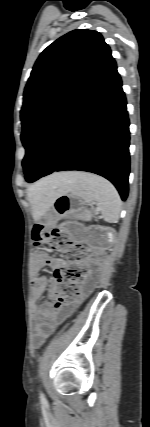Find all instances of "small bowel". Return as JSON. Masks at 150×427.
<instances>
[{"label": "small bowel", "mask_w": 150, "mask_h": 427, "mask_svg": "<svg viewBox=\"0 0 150 427\" xmlns=\"http://www.w3.org/2000/svg\"><path fill=\"white\" fill-rule=\"evenodd\" d=\"M62 264V260L58 258H52L45 254H38L33 259V269L37 274L40 270L49 266L51 268H59ZM36 296L41 297L48 286V279L45 276H37L36 280ZM69 309H65L57 317H54L48 306H43L36 311V318L38 325L35 329L34 335V346H41L46 338H48L54 331L55 325L66 317Z\"/></svg>", "instance_id": "c3829d8e"}]
</instances>
